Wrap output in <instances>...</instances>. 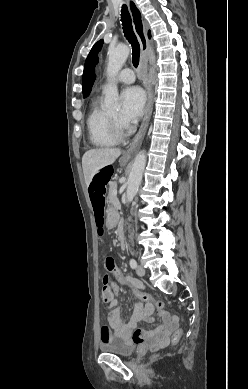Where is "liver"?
<instances>
[{
	"label": "liver",
	"mask_w": 248,
	"mask_h": 389,
	"mask_svg": "<svg viewBox=\"0 0 248 389\" xmlns=\"http://www.w3.org/2000/svg\"><path fill=\"white\" fill-rule=\"evenodd\" d=\"M121 150L116 148L91 149L84 153L82 157V167L86 185L92 182V179L98 171L113 164L120 156Z\"/></svg>",
	"instance_id": "1"
}]
</instances>
